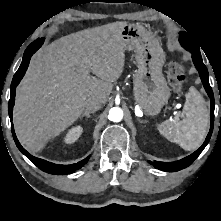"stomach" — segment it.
<instances>
[{
    "instance_id": "0dacf381",
    "label": "stomach",
    "mask_w": 221,
    "mask_h": 221,
    "mask_svg": "<svg viewBox=\"0 0 221 221\" xmlns=\"http://www.w3.org/2000/svg\"><path fill=\"white\" fill-rule=\"evenodd\" d=\"M121 35L126 50L134 51L138 66L134 75L135 101L146 115H156L170 97L162 73L165 53L158 40L139 24H127Z\"/></svg>"
}]
</instances>
